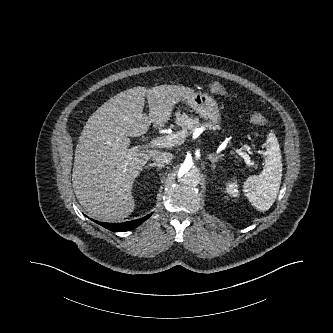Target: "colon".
I'll list each match as a JSON object with an SVG mask.
<instances>
[{"label": "colon", "instance_id": "colon-1", "mask_svg": "<svg viewBox=\"0 0 333 333\" xmlns=\"http://www.w3.org/2000/svg\"><path fill=\"white\" fill-rule=\"evenodd\" d=\"M209 89L212 93L221 95V96H228L229 93L226 90V88L218 83V82H213L211 84H209ZM250 122L255 124V125H268L269 121L267 120V118L262 115L261 113H251L249 116Z\"/></svg>", "mask_w": 333, "mask_h": 333}]
</instances>
